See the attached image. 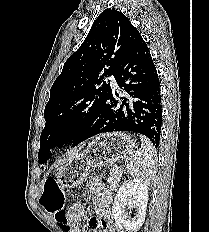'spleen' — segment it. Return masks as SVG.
<instances>
[{"label": "spleen", "instance_id": "3e777b00", "mask_svg": "<svg viewBox=\"0 0 209 232\" xmlns=\"http://www.w3.org/2000/svg\"><path fill=\"white\" fill-rule=\"evenodd\" d=\"M139 152L126 160L125 167L128 173L138 178L144 184L153 183L157 171V153L153 144L144 136Z\"/></svg>", "mask_w": 209, "mask_h": 232}]
</instances>
